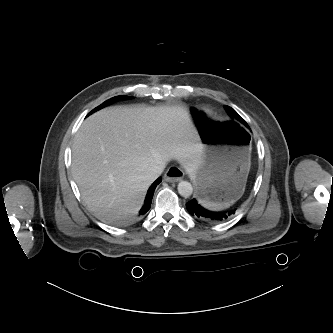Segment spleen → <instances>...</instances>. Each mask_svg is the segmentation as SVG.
Wrapping results in <instances>:
<instances>
[{"instance_id": "spleen-1", "label": "spleen", "mask_w": 333, "mask_h": 333, "mask_svg": "<svg viewBox=\"0 0 333 333\" xmlns=\"http://www.w3.org/2000/svg\"><path fill=\"white\" fill-rule=\"evenodd\" d=\"M199 203L209 209V210H213V211H216V210H222L224 208H227L229 207L230 205L228 206H223V205H220V204H217V203H214V202H211V201H208V200H205V199H200L199 200Z\"/></svg>"}]
</instances>
